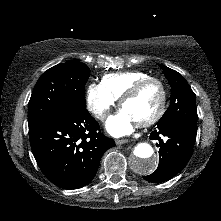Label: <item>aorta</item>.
I'll return each instance as SVG.
<instances>
[{"label": "aorta", "mask_w": 221, "mask_h": 221, "mask_svg": "<svg viewBox=\"0 0 221 221\" xmlns=\"http://www.w3.org/2000/svg\"><path fill=\"white\" fill-rule=\"evenodd\" d=\"M134 159L132 169L138 174H150L155 171L158 165L157 156L153 147L145 142H140L133 149Z\"/></svg>", "instance_id": "1"}]
</instances>
